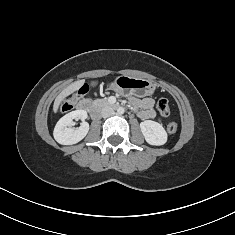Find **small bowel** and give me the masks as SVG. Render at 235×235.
I'll return each mask as SVG.
<instances>
[{
	"mask_svg": "<svg viewBox=\"0 0 235 235\" xmlns=\"http://www.w3.org/2000/svg\"><path fill=\"white\" fill-rule=\"evenodd\" d=\"M131 104L138 108V116L142 119H152L155 117V112L153 110L154 100L152 98L138 99L132 97L130 99Z\"/></svg>",
	"mask_w": 235,
	"mask_h": 235,
	"instance_id": "obj_1",
	"label": "small bowel"
}]
</instances>
